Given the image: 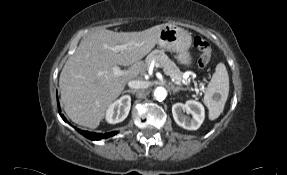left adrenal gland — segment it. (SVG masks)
I'll return each mask as SVG.
<instances>
[{"label":"left adrenal gland","instance_id":"obj_1","mask_svg":"<svg viewBox=\"0 0 287 175\" xmlns=\"http://www.w3.org/2000/svg\"><path fill=\"white\" fill-rule=\"evenodd\" d=\"M171 90H172L173 94H175V93L178 92L179 90H183V88H181V87H175L174 85H171Z\"/></svg>","mask_w":287,"mask_h":175}]
</instances>
